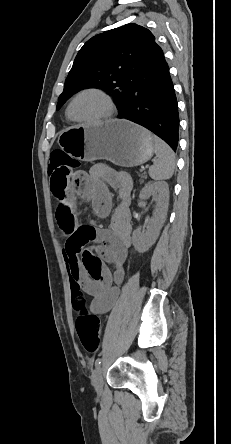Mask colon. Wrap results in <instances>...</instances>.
Wrapping results in <instances>:
<instances>
[{
  "instance_id": "1",
  "label": "colon",
  "mask_w": 231,
  "mask_h": 444,
  "mask_svg": "<svg viewBox=\"0 0 231 444\" xmlns=\"http://www.w3.org/2000/svg\"><path fill=\"white\" fill-rule=\"evenodd\" d=\"M78 168L79 162L65 152L55 150L51 153L48 171L57 187L71 181ZM94 232V228L88 226L78 229L81 236L93 235ZM72 302L78 314L76 328L81 344L88 353H95L101 340V321L87 310L86 299L77 284L72 286Z\"/></svg>"
}]
</instances>
